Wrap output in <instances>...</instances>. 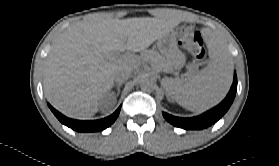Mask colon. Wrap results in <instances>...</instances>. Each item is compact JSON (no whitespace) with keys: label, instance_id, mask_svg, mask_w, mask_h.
Returning <instances> with one entry per match:
<instances>
[{"label":"colon","instance_id":"obj_1","mask_svg":"<svg viewBox=\"0 0 279 166\" xmlns=\"http://www.w3.org/2000/svg\"><path fill=\"white\" fill-rule=\"evenodd\" d=\"M180 46L187 50L196 61H201L205 56V48L198 27L193 24L182 25L177 29Z\"/></svg>","mask_w":279,"mask_h":166}]
</instances>
